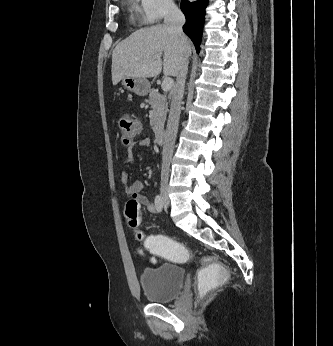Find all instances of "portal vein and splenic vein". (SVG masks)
I'll list each match as a JSON object with an SVG mask.
<instances>
[{"instance_id": "18ae733b", "label": "portal vein and splenic vein", "mask_w": 333, "mask_h": 346, "mask_svg": "<svg viewBox=\"0 0 333 346\" xmlns=\"http://www.w3.org/2000/svg\"><path fill=\"white\" fill-rule=\"evenodd\" d=\"M174 81L171 78H165L162 82V90L163 91H170L173 88Z\"/></svg>"}]
</instances>
